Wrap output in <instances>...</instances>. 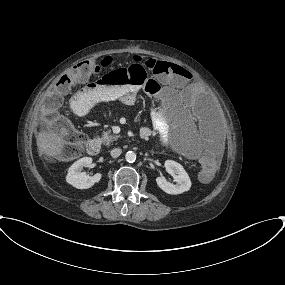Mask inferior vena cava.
Masks as SVG:
<instances>
[{"mask_svg":"<svg viewBox=\"0 0 285 285\" xmlns=\"http://www.w3.org/2000/svg\"><path fill=\"white\" fill-rule=\"evenodd\" d=\"M122 150L120 148H114L111 150L110 154L113 158H117L121 155Z\"/></svg>","mask_w":285,"mask_h":285,"instance_id":"602c4592","label":"inferior vena cava"}]
</instances>
